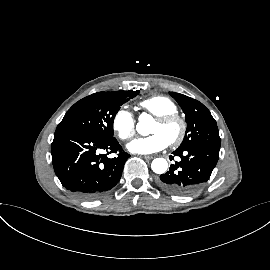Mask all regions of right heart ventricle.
Here are the masks:
<instances>
[{"instance_id":"1","label":"right heart ventricle","mask_w":270,"mask_h":270,"mask_svg":"<svg viewBox=\"0 0 270 270\" xmlns=\"http://www.w3.org/2000/svg\"><path fill=\"white\" fill-rule=\"evenodd\" d=\"M139 106L158 117L170 113H178V106L170 98L162 95L151 96L139 102Z\"/></svg>"}]
</instances>
